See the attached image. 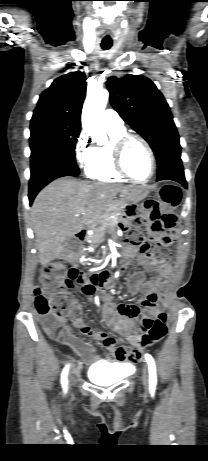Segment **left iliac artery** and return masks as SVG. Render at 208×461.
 Segmentation results:
<instances>
[{
  "label": "left iliac artery",
  "mask_w": 208,
  "mask_h": 461,
  "mask_svg": "<svg viewBox=\"0 0 208 461\" xmlns=\"http://www.w3.org/2000/svg\"><path fill=\"white\" fill-rule=\"evenodd\" d=\"M146 361L149 365V374H150V385L155 386L157 382V377H156V367H155V362L154 359L152 358L151 355L145 354Z\"/></svg>",
  "instance_id": "obj_1"
}]
</instances>
